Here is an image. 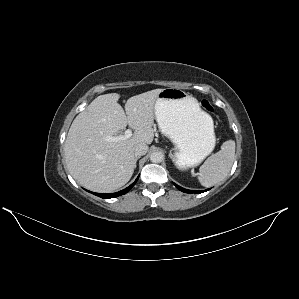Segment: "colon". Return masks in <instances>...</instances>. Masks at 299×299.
Returning <instances> with one entry per match:
<instances>
[{"mask_svg": "<svg viewBox=\"0 0 299 299\" xmlns=\"http://www.w3.org/2000/svg\"><path fill=\"white\" fill-rule=\"evenodd\" d=\"M201 105L208 112H213V110H214L211 103L207 100H202Z\"/></svg>", "mask_w": 299, "mask_h": 299, "instance_id": "colon-1", "label": "colon"}]
</instances>
